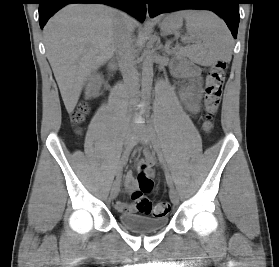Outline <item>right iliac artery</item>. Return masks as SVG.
I'll return each instance as SVG.
<instances>
[{"label": "right iliac artery", "mask_w": 279, "mask_h": 267, "mask_svg": "<svg viewBox=\"0 0 279 267\" xmlns=\"http://www.w3.org/2000/svg\"><path fill=\"white\" fill-rule=\"evenodd\" d=\"M133 146H134V141L131 143L130 146H128L125 149V151H124V153L122 155V157H121V159L119 161V164L117 166V169H116V176H117V178H119L121 176L123 167L126 165V163L128 161V158H129V155L131 153V150H132Z\"/></svg>", "instance_id": "obj_1"}]
</instances>
